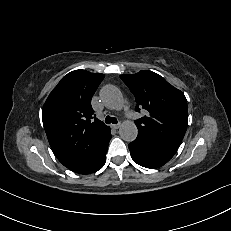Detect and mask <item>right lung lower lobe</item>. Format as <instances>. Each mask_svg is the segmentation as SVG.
I'll list each match as a JSON object with an SVG mask.
<instances>
[{
  "mask_svg": "<svg viewBox=\"0 0 231 231\" xmlns=\"http://www.w3.org/2000/svg\"><path fill=\"white\" fill-rule=\"evenodd\" d=\"M111 139L110 128L99 138L93 140L78 163L69 169L79 174H89L99 170L105 163L108 144Z\"/></svg>",
  "mask_w": 231,
  "mask_h": 231,
  "instance_id": "98d812e1",
  "label": "right lung lower lobe"
}]
</instances>
